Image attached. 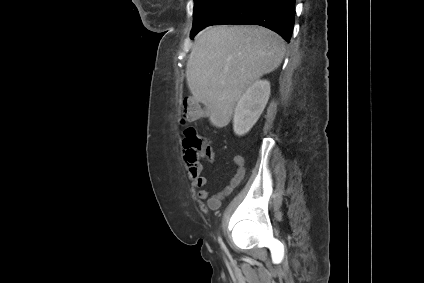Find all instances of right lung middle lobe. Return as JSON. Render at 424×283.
<instances>
[{"mask_svg":"<svg viewBox=\"0 0 424 283\" xmlns=\"http://www.w3.org/2000/svg\"><path fill=\"white\" fill-rule=\"evenodd\" d=\"M228 0H194L193 26L191 34L197 33Z\"/></svg>","mask_w":424,"mask_h":283,"instance_id":"obj_1","label":"right lung middle lobe"}]
</instances>
